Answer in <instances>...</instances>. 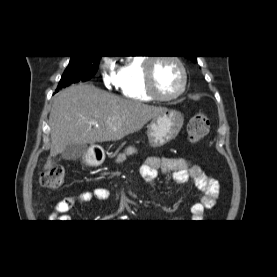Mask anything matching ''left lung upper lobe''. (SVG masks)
I'll return each mask as SVG.
<instances>
[{"mask_svg": "<svg viewBox=\"0 0 277 277\" xmlns=\"http://www.w3.org/2000/svg\"><path fill=\"white\" fill-rule=\"evenodd\" d=\"M188 58L193 60L194 62H196V56H192V57H188Z\"/></svg>", "mask_w": 277, "mask_h": 277, "instance_id": "obj_1", "label": "left lung upper lobe"}]
</instances>
